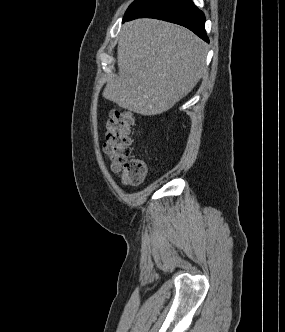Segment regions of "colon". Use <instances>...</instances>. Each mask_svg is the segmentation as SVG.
Wrapping results in <instances>:
<instances>
[{
  "label": "colon",
  "mask_w": 285,
  "mask_h": 332,
  "mask_svg": "<svg viewBox=\"0 0 285 332\" xmlns=\"http://www.w3.org/2000/svg\"><path fill=\"white\" fill-rule=\"evenodd\" d=\"M135 123L132 112L114 109L107 122L104 154L111 169L120 175L126 185H139L143 182L147 166L143 159L131 156V130Z\"/></svg>",
  "instance_id": "5ec220e1"
}]
</instances>
